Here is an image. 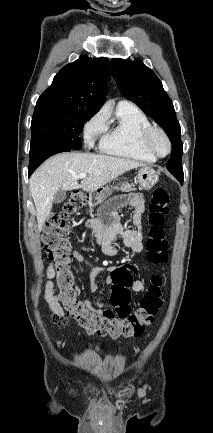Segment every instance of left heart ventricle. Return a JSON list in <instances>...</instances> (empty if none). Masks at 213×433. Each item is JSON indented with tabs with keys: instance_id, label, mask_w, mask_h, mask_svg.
I'll use <instances>...</instances> for the list:
<instances>
[{
	"instance_id": "obj_1",
	"label": "left heart ventricle",
	"mask_w": 213,
	"mask_h": 433,
	"mask_svg": "<svg viewBox=\"0 0 213 433\" xmlns=\"http://www.w3.org/2000/svg\"><path fill=\"white\" fill-rule=\"evenodd\" d=\"M154 143L160 153H166L168 146L165 139L161 135L157 134L155 136Z\"/></svg>"
}]
</instances>
